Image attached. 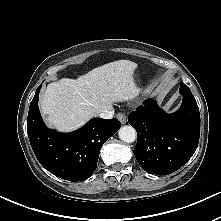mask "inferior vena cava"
<instances>
[{"instance_id": "obj_1", "label": "inferior vena cava", "mask_w": 221, "mask_h": 221, "mask_svg": "<svg viewBox=\"0 0 221 221\" xmlns=\"http://www.w3.org/2000/svg\"><path fill=\"white\" fill-rule=\"evenodd\" d=\"M114 115V110L113 109H110V110H106V111H103L101 113L98 114V116L100 118H103V119H111Z\"/></svg>"}]
</instances>
